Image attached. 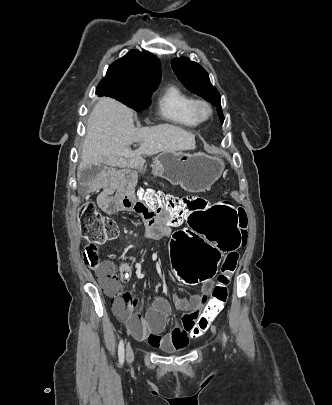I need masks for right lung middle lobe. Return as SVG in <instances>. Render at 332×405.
Wrapping results in <instances>:
<instances>
[{"label": "right lung middle lobe", "mask_w": 332, "mask_h": 405, "mask_svg": "<svg viewBox=\"0 0 332 405\" xmlns=\"http://www.w3.org/2000/svg\"><path fill=\"white\" fill-rule=\"evenodd\" d=\"M157 86L154 83H134L123 76L106 75L96 88V94L110 96L136 111H142L151 104V95Z\"/></svg>", "instance_id": "1"}]
</instances>
